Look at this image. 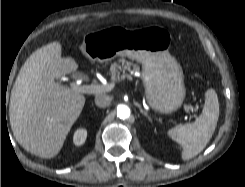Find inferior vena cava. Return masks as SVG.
<instances>
[{"label":"inferior vena cava","instance_id":"602c4592","mask_svg":"<svg viewBox=\"0 0 245 187\" xmlns=\"http://www.w3.org/2000/svg\"><path fill=\"white\" fill-rule=\"evenodd\" d=\"M111 103V98L110 96L106 95V94H96L95 96V104L98 107L104 108L109 106Z\"/></svg>","mask_w":245,"mask_h":187}]
</instances>
